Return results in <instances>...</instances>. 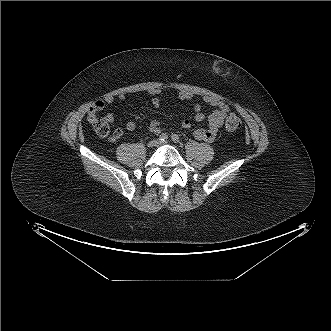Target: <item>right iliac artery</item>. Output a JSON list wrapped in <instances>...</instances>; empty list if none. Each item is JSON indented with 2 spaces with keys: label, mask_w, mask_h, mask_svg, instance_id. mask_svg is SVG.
Returning <instances> with one entry per match:
<instances>
[{
  "label": "right iliac artery",
  "mask_w": 331,
  "mask_h": 331,
  "mask_svg": "<svg viewBox=\"0 0 331 331\" xmlns=\"http://www.w3.org/2000/svg\"><path fill=\"white\" fill-rule=\"evenodd\" d=\"M168 139V135L166 133H162L160 136H159V140L160 141H166Z\"/></svg>",
  "instance_id": "obj_1"
}]
</instances>
